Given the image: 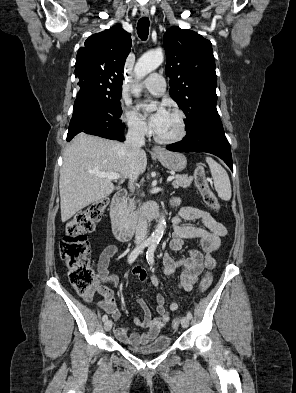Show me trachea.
<instances>
[{
    "label": "trachea",
    "instance_id": "1",
    "mask_svg": "<svg viewBox=\"0 0 296 393\" xmlns=\"http://www.w3.org/2000/svg\"><path fill=\"white\" fill-rule=\"evenodd\" d=\"M149 32V18L142 17L137 24V34L142 40H146Z\"/></svg>",
    "mask_w": 296,
    "mask_h": 393
}]
</instances>
